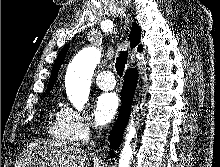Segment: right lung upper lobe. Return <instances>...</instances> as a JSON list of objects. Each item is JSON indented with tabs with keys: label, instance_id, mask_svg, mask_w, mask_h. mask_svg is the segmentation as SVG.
I'll return each mask as SVG.
<instances>
[{
	"label": "right lung upper lobe",
	"instance_id": "cb5924a9",
	"mask_svg": "<svg viewBox=\"0 0 220 167\" xmlns=\"http://www.w3.org/2000/svg\"><path fill=\"white\" fill-rule=\"evenodd\" d=\"M140 37H141V33H140L139 26L137 24L133 23L131 33L129 35L131 48L138 46V44L140 42ZM68 49H69V45L64 46L56 59V62L54 64L52 72H51V77H50V80L48 83L47 92H49L52 89V87L54 86V84L56 82L59 68L64 61V58H65V55H66ZM137 50L141 52L143 50L142 45H139Z\"/></svg>",
	"mask_w": 220,
	"mask_h": 167
}]
</instances>
